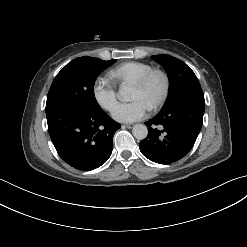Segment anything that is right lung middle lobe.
I'll list each match as a JSON object with an SVG mask.
<instances>
[{
	"label": "right lung middle lobe",
	"instance_id": "dd1d6c3e",
	"mask_svg": "<svg viewBox=\"0 0 247 247\" xmlns=\"http://www.w3.org/2000/svg\"><path fill=\"white\" fill-rule=\"evenodd\" d=\"M115 62L79 57L68 63L52 82L47 96L46 114L63 107L91 112L100 110L94 95V83L98 75Z\"/></svg>",
	"mask_w": 247,
	"mask_h": 247
}]
</instances>
